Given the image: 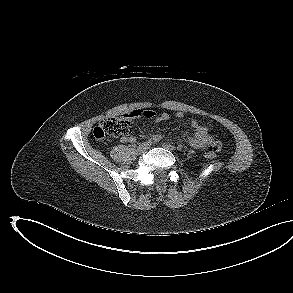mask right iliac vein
Wrapping results in <instances>:
<instances>
[{
    "instance_id": "obj_1",
    "label": "right iliac vein",
    "mask_w": 293,
    "mask_h": 293,
    "mask_svg": "<svg viewBox=\"0 0 293 293\" xmlns=\"http://www.w3.org/2000/svg\"><path fill=\"white\" fill-rule=\"evenodd\" d=\"M150 146H151V143L150 142H144L141 145H139V147L137 148V151L139 153H143L146 150H148L150 148Z\"/></svg>"
}]
</instances>
